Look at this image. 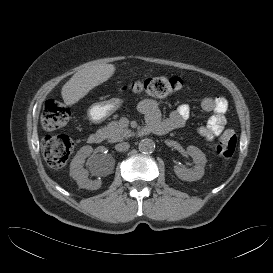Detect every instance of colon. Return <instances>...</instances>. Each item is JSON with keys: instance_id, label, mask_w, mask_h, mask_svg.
Returning a JSON list of instances; mask_svg holds the SVG:
<instances>
[{"instance_id": "5ec220e1", "label": "colon", "mask_w": 273, "mask_h": 273, "mask_svg": "<svg viewBox=\"0 0 273 273\" xmlns=\"http://www.w3.org/2000/svg\"><path fill=\"white\" fill-rule=\"evenodd\" d=\"M182 87L179 77H151L134 81L121 87V91L161 98L172 95ZM71 117L70 109L56 100H48L42 112V125L47 130L65 126ZM237 136L231 130L226 131L218 140L215 150L223 160H229L235 153ZM43 154L48 165L54 169L63 167L74 149V141L65 135L47 137L42 143Z\"/></svg>"}]
</instances>
